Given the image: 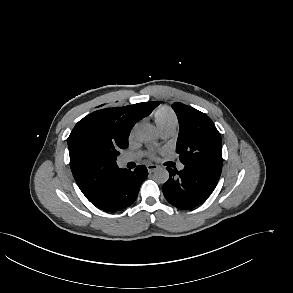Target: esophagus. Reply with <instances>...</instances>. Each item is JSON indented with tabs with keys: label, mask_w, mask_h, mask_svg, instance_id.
I'll return each instance as SVG.
<instances>
[{
	"label": "esophagus",
	"mask_w": 293,
	"mask_h": 293,
	"mask_svg": "<svg viewBox=\"0 0 293 293\" xmlns=\"http://www.w3.org/2000/svg\"><path fill=\"white\" fill-rule=\"evenodd\" d=\"M146 167L150 173H152L158 169V166L155 164H148Z\"/></svg>",
	"instance_id": "esophagus-1"
}]
</instances>
